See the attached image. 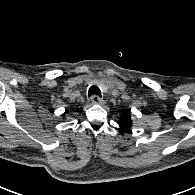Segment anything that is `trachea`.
I'll return each instance as SVG.
<instances>
[{"label":"trachea","instance_id":"trachea-1","mask_svg":"<svg viewBox=\"0 0 195 195\" xmlns=\"http://www.w3.org/2000/svg\"><path fill=\"white\" fill-rule=\"evenodd\" d=\"M88 93H89V96H92V95L101 96V91L97 86H91L89 88Z\"/></svg>","mask_w":195,"mask_h":195}]
</instances>
